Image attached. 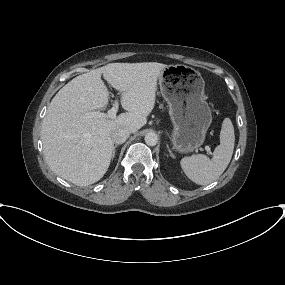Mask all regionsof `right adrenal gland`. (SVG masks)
Instances as JSON below:
<instances>
[{
  "instance_id": "right-adrenal-gland-1",
  "label": "right adrenal gland",
  "mask_w": 285,
  "mask_h": 285,
  "mask_svg": "<svg viewBox=\"0 0 285 285\" xmlns=\"http://www.w3.org/2000/svg\"><path fill=\"white\" fill-rule=\"evenodd\" d=\"M117 146H118V145H115V146L113 147L112 158L115 157V153H116V148H117Z\"/></svg>"
}]
</instances>
